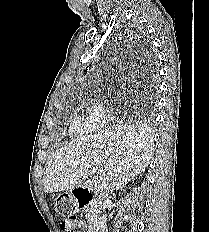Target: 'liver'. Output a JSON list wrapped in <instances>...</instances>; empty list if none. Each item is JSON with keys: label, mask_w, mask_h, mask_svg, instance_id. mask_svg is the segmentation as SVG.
Segmentation results:
<instances>
[{"label": "liver", "mask_w": 209, "mask_h": 232, "mask_svg": "<svg viewBox=\"0 0 209 232\" xmlns=\"http://www.w3.org/2000/svg\"><path fill=\"white\" fill-rule=\"evenodd\" d=\"M152 137L142 127L114 125L72 141L54 153L45 169V193L84 186L105 195L123 188L142 173L153 158ZM96 175L88 179L90 169Z\"/></svg>", "instance_id": "liver-1"}]
</instances>
